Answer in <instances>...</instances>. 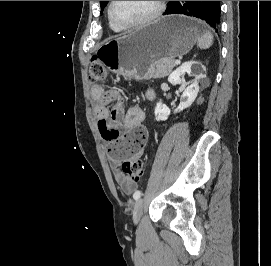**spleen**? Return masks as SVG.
<instances>
[{"label": "spleen", "instance_id": "1", "mask_svg": "<svg viewBox=\"0 0 271 266\" xmlns=\"http://www.w3.org/2000/svg\"><path fill=\"white\" fill-rule=\"evenodd\" d=\"M213 44V35L211 32L206 31L198 40L197 46L201 49H208Z\"/></svg>", "mask_w": 271, "mask_h": 266}]
</instances>
